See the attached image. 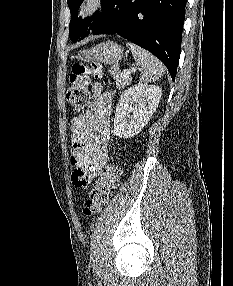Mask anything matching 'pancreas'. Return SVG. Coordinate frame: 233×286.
I'll use <instances>...</instances> for the list:
<instances>
[{
  "instance_id": "obj_1",
  "label": "pancreas",
  "mask_w": 233,
  "mask_h": 286,
  "mask_svg": "<svg viewBox=\"0 0 233 286\" xmlns=\"http://www.w3.org/2000/svg\"><path fill=\"white\" fill-rule=\"evenodd\" d=\"M109 72L115 79L116 87L118 89H124L125 86L130 85L131 79L129 77H125L123 74L124 72H121L116 68H111Z\"/></svg>"
}]
</instances>
